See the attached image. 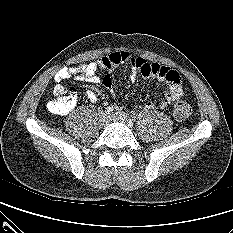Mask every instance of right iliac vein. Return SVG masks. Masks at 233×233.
Instances as JSON below:
<instances>
[{
	"label": "right iliac vein",
	"mask_w": 233,
	"mask_h": 233,
	"mask_svg": "<svg viewBox=\"0 0 233 233\" xmlns=\"http://www.w3.org/2000/svg\"><path fill=\"white\" fill-rule=\"evenodd\" d=\"M110 119H111V117L109 114H107L106 112L102 113L100 115V120H99L100 127H102V128L105 127L109 123Z\"/></svg>",
	"instance_id": "1"
}]
</instances>
